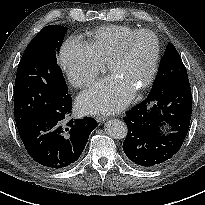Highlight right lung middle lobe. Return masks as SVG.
Here are the masks:
<instances>
[{
	"instance_id": "obj_1",
	"label": "right lung middle lobe",
	"mask_w": 205,
	"mask_h": 205,
	"mask_svg": "<svg viewBox=\"0 0 205 205\" xmlns=\"http://www.w3.org/2000/svg\"><path fill=\"white\" fill-rule=\"evenodd\" d=\"M66 31L63 26H46L25 49L17 69L13 95L17 127L41 109L69 96L57 63Z\"/></svg>"
}]
</instances>
